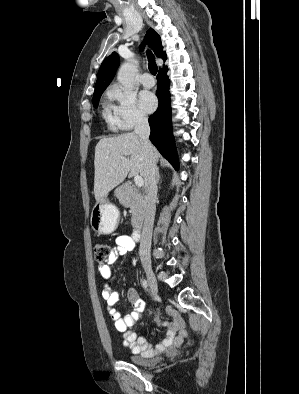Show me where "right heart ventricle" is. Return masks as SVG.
<instances>
[{"instance_id": "1", "label": "right heart ventricle", "mask_w": 299, "mask_h": 394, "mask_svg": "<svg viewBox=\"0 0 299 394\" xmlns=\"http://www.w3.org/2000/svg\"><path fill=\"white\" fill-rule=\"evenodd\" d=\"M103 115L112 127L116 125L114 115L111 113V109L109 106L105 107Z\"/></svg>"}]
</instances>
